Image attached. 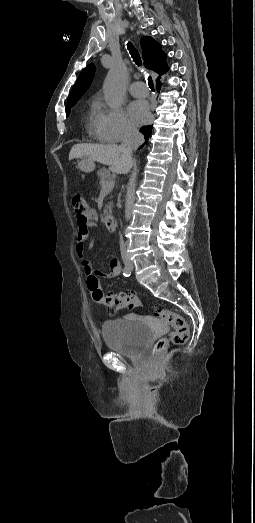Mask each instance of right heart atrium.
Masks as SVG:
<instances>
[{"label":"right heart atrium","mask_w":255,"mask_h":523,"mask_svg":"<svg viewBox=\"0 0 255 523\" xmlns=\"http://www.w3.org/2000/svg\"><path fill=\"white\" fill-rule=\"evenodd\" d=\"M110 128L117 140H125L137 134L136 125L128 118L123 106L112 107L108 110Z\"/></svg>","instance_id":"right-heart-atrium-1"}]
</instances>
